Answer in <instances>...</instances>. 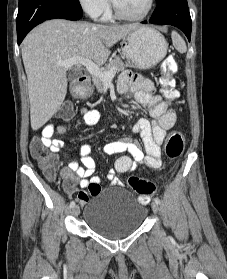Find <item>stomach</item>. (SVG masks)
Instances as JSON below:
<instances>
[{
	"mask_svg": "<svg viewBox=\"0 0 227 279\" xmlns=\"http://www.w3.org/2000/svg\"><path fill=\"white\" fill-rule=\"evenodd\" d=\"M121 49L123 56L132 67L149 69L166 56L168 44L160 32L142 26L124 37Z\"/></svg>",
	"mask_w": 227,
	"mask_h": 279,
	"instance_id": "obj_1",
	"label": "stomach"
}]
</instances>
